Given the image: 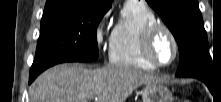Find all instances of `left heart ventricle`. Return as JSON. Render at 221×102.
Segmentation results:
<instances>
[{"instance_id":"1","label":"left heart ventricle","mask_w":221,"mask_h":102,"mask_svg":"<svg viewBox=\"0 0 221 102\" xmlns=\"http://www.w3.org/2000/svg\"><path fill=\"white\" fill-rule=\"evenodd\" d=\"M153 52L155 57L162 63L169 62L174 54V47L169 36L161 32L155 39Z\"/></svg>"}]
</instances>
